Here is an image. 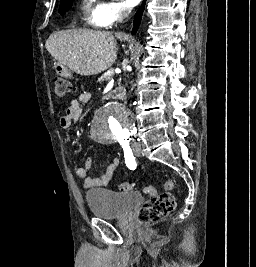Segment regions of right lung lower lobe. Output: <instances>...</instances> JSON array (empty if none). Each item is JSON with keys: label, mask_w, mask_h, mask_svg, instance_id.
Wrapping results in <instances>:
<instances>
[{"label": "right lung lower lobe", "mask_w": 256, "mask_h": 267, "mask_svg": "<svg viewBox=\"0 0 256 267\" xmlns=\"http://www.w3.org/2000/svg\"><path fill=\"white\" fill-rule=\"evenodd\" d=\"M145 2H146V0L143 1L142 6L139 8V10L137 11V13L134 16V28L132 30V34H135L137 32V29L139 28L142 13L144 11Z\"/></svg>", "instance_id": "right-lung-lower-lobe-1"}]
</instances>
